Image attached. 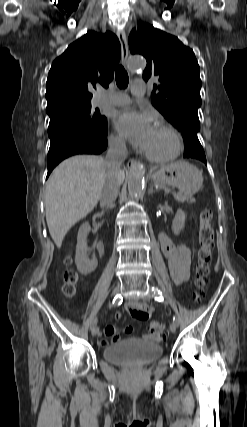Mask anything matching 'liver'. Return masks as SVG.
<instances>
[{"label": "liver", "instance_id": "1", "mask_svg": "<svg viewBox=\"0 0 247 427\" xmlns=\"http://www.w3.org/2000/svg\"><path fill=\"white\" fill-rule=\"evenodd\" d=\"M105 159L76 155L60 163L50 175L45 194L49 233L58 248L67 232L97 205L106 176ZM120 184L124 171L118 174Z\"/></svg>", "mask_w": 247, "mask_h": 427}]
</instances>
